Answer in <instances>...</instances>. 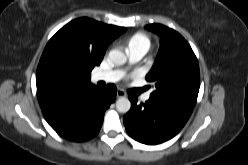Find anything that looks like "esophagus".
Masks as SVG:
<instances>
[{"label": "esophagus", "mask_w": 248, "mask_h": 165, "mask_svg": "<svg viewBox=\"0 0 248 165\" xmlns=\"http://www.w3.org/2000/svg\"><path fill=\"white\" fill-rule=\"evenodd\" d=\"M125 96H126V93L123 90L121 89L117 90V98L125 97Z\"/></svg>", "instance_id": "1"}]
</instances>
